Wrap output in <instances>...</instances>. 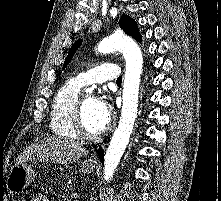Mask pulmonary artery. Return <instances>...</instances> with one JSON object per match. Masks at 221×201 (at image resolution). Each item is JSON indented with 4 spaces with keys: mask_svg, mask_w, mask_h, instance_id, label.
<instances>
[{
    "mask_svg": "<svg viewBox=\"0 0 221 201\" xmlns=\"http://www.w3.org/2000/svg\"><path fill=\"white\" fill-rule=\"evenodd\" d=\"M120 77V68L116 64L104 63L86 72L78 74L74 82L80 86L95 83H104L108 80H117Z\"/></svg>",
    "mask_w": 221,
    "mask_h": 201,
    "instance_id": "pulmonary-artery-1",
    "label": "pulmonary artery"
}]
</instances>
